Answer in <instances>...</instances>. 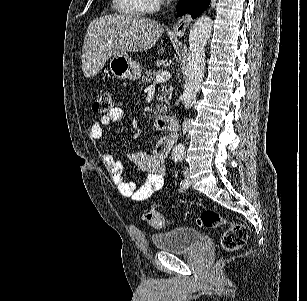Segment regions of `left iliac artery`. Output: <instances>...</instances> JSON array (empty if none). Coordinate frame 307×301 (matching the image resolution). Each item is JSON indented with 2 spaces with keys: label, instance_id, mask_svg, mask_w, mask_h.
I'll return each instance as SVG.
<instances>
[{
  "label": "left iliac artery",
  "instance_id": "obj_1",
  "mask_svg": "<svg viewBox=\"0 0 307 301\" xmlns=\"http://www.w3.org/2000/svg\"><path fill=\"white\" fill-rule=\"evenodd\" d=\"M175 161H176V162H181V158H176V159H175ZM180 184L182 185V187H184V188H185V187H186V185H187V180L182 181Z\"/></svg>",
  "mask_w": 307,
  "mask_h": 301
}]
</instances>
